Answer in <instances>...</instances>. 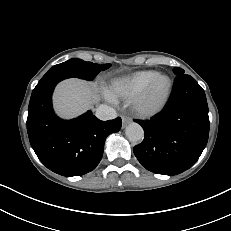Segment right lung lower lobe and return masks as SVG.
Listing matches in <instances>:
<instances>
[{
  "label": "right lung lower lobe",
  "instance_id": "98d812e1",
  "mask_svg": "<svg viewBox=\"0 0 231 231\" xmlns=\"http://www.w3.org/2000/svg\"><path fill=\"white\" fill-rule=\"evenodd\" d=\"M56 79L35 87L29 102L27 132L39 160L62 176H79L96 168L106 137L121 128V118L101 121L91 111L62 120L52 108Z\"/></svg>",
  "mask_w": 231,
  "mask_h": 231
}]
</instances>
